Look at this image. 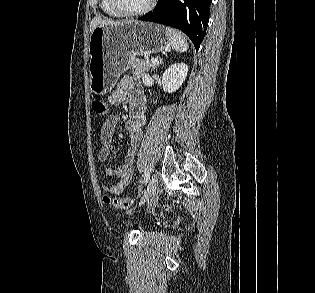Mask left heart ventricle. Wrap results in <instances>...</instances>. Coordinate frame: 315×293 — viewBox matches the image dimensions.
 Instances as JSON below:
<instances>
[{
  "label": "left heart ventricle",
  "mask_w": 315,
  "mask_h": 293,
  "mask_svg": "<svg viewBox=\"0 0 315 293\" xmlns=\"http://www.w3.org/2000/svg\"><path fill=\"white\" fill-rule=\"evenodd\" d=\"M122 6L130 11H136L144 8L150 0H120Z\"/></svg>",
  "instance_id": "left-heart-ventricle-1"
}]
</instances>
